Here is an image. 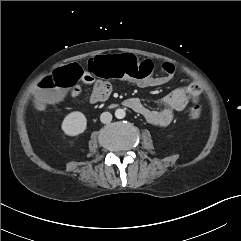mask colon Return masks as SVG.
Wrapping results in <instances>:
<instances>
[{
	"label": "colon",
	"mask_w": 241,
	"mask_h": 241,
	"mask_svg": "<svg viewBox=\"0 0 241 241\" xmlns=\"http://www.w3.org/2000/svg\"><path fill=\"white\" fill-rule=\"evenodd\" d=\"M160 68L169 75H173L175 67L171 63H162ZM86 70L91 75L107 78L127 77L142 80L149 77L154 64L150 60H138L133 55H96L86 61ZM82 75V65L77 60H69L58 68L56 72L45 77L36 93V103L44 106L60 100L63 94L79 80ZM189 116L197 119L201 116V108L196 105L190 108Z\"/></svg>",
	"instance_id": "colon-1"
}]
</instances>
